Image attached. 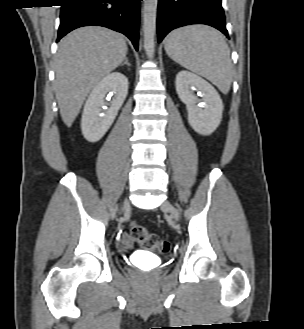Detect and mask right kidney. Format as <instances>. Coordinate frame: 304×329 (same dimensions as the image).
Masks as SVG:
<instances>
[{
    "label": "right kidney",
    "mask_w": 304,
    "mask_h": 329,
    "mask_svg": "<svg viewBox=\"0 0 304 329\" xmlns=\"http://www.w3.org/2000/svg\"><path fill=\"white\" fill-rule=\"evenodd\" d=\"M114 95L110 107L103 111L104 98ZM128 94V79L120 72H113L103 78L89 95L82 114L81 130L89 142L99 141L114 122L119 109Z\"/></svg>",
    "instance_id": "right-kidney-1"
}]
</instances>
